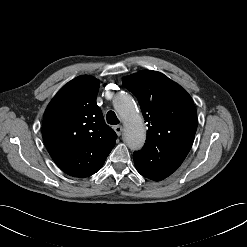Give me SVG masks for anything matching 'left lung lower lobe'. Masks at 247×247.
Instances as JSON below:
<instances>
[{
  "mask_svg": "<svg viewBox=\"0 0 247 247\" xmlns=\"http://www.w3.org/2000/svg\"><path fill=\"white\" fill-rule=\"evenodd\" d=\"M137 171L144 177L160 181L171 175L183 161L171 158L137 157L133 154Z\"/></svg>",
  "mask_w": 247,
  "mask_h": 247,
  "instance_id": "left-lung-lower-lobe-1",
  "label": "left lung lower lobe"
}]
</instances>
